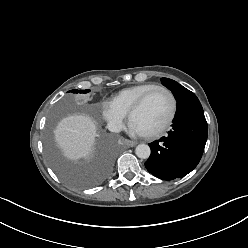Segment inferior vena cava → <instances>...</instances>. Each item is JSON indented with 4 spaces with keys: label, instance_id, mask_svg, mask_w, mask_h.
Segmentation results:
<instances>
[{
    "label": "inferior vena cava",
    "instance_id": "obj_1",
    "mask_svg": "<svg viewBox=\"0 0 248 248\" xmlns=\"http://www.w3.org/2000/svg\"><path fill=\"white\" fill-rule=\"evenodd\" d=\"M109 131L118 133L121 131L122 127L120 124L115 123V122H109L107 125Z\"/></svg>",
    "mask_w": 248,
    "mask_h": 248
}]
</instances>
